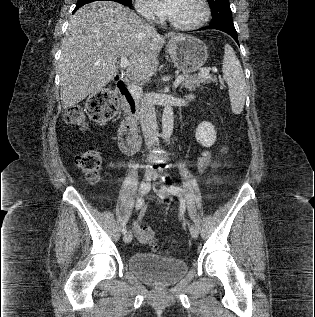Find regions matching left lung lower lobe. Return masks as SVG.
<instances>
[{
    "label": "left lung lower lobe",
    "mask_w": 315,
    "mask_h": 317,
    "mask_svg": "<svg viewBox=\"0 0 315 317\" xmlns=\"http://www.w3.org/2000/svg\"><path fill=\"white\" fill-rule=\"evenodd\" d=\"M209 28L217 29V30L223 31V32L231 35L233 37V39L239 44L238 38H237V31H236L234 26H219V27H215V26L210 24L209 26H207L205 28H202L200 30L209 29Z\"/></svg>",
    "instance_id": "obj_1"
}]
</instances>
